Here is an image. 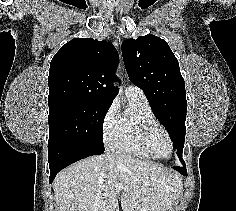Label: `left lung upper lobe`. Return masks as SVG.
<instances>
[{"label": "left lung upper lobe", "instance_id": "obj_1", "mask_svg": "<svg viewBox=\"0 0 236 211\" xmlns=\"http://www.w3.org/2000/svg\"><path fill=\"white\" fill-rule=\"evenodd\" d=\"M122 54L130 80L141 88L156 118L165 126L182 164L187 101L179 63L165 40L146 35L126 39Z\"/></svg>", "mask_w": 236, "mask_h": 211}]
</instances>
